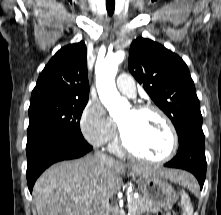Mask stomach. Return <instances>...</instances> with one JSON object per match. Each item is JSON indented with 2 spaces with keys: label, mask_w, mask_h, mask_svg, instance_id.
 Here are the masks:
<instances>
[{
  "label": "stomach",
  "mask_w": 221,
  "mask_h": 215,
  "mask_svg": "<svg viewBox=\"0 0 221 215\" xmlns=\"http://www.w3.org/2000/svg\"><path fill=\"white\" fill-rule=\"evenodd\" d=\"M136 182L146 198L154 207L171 208L178 200L172 186L156 175H135Z\"/></svg>",
  "instance_id": "obj_1"
}]
</instances>
